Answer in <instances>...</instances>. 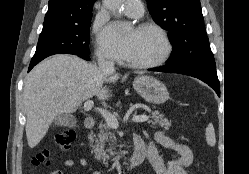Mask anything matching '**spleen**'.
Returning a JSON list of instances; mask_svg holds the SVG:
<instances>
[{
    "mask_svg": "<svg viewBox=\"0 0 249 174\" xmlns=\"http://www.w3.org/2000/svg\"><path fill=\"white\" fill-rule=\"evenodd\" d=\"M205 136H206L207 144L212 146V147L215 146V144H216L215 130H214V127H213L212 123H210L206 127Z\"/></svg>",
    "mask_w": 249,
    "mask_h": 174,
    "instance_id": "3e777b00",
    "label": "spleen"
}]
</instances>
